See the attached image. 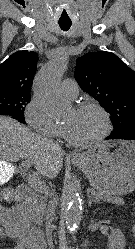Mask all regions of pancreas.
Here are the masks:
<instances>
[{
	"mask_svg": "<svg viewBox=\"0 0 135 249\" xmlns=\"http://www.w3.org/2000/svg\"><path fill=\"white\" fill-rule=\"evenodd\" d=\"M91 192L94 193L95 198L98 200L103 199L113 204L124 205V200L120 197L106 194L104 192L96 190H92ZM44 208L45 204L43 199H35L25 206V211L29 219H34L38 223L40 216L43 214Z\"/></svg>",
	"mask_w": 135,
	"mask_h": 249,
	"instance_id": "pancreas-1",
	"label": "pancreas"
}]
</instances>
